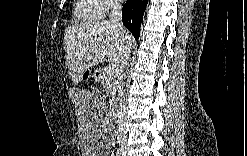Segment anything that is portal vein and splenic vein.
<instances>
[{
  "instance_id": "obj_1",
  "label": "portal vein and splenic vein",
  "mask_w": 247,
  "mask_h": 156,
  "mask_svg": "<svg viewBox=\"0 0 247 156\" xmlns=\"http://www.w3.org/2000/svg\"><path fill=\"white\" fill-rule=\"evenodd\" d=\"M117 66L115 64H109L106 67V73L111 75V74H115L117 72Z\"/></svg>"
}]
</instances>
